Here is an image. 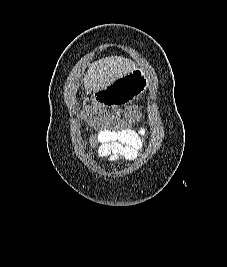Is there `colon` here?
<instances>
[{
    "label": "colon",
    "instance_id": "1",
    "mask_svg": "<svg viewBox=\"0 0 227 267\" xmlns=\"http://www.w3.org/2000/svg\"><path fill=\"white\" fill-rule=\"evenodd\" d=\"M135 109L136 106L127 110H113L111 114L110 110H102L97 106H85L82 114L95 130H125V125H133V120L126 119H139ZM141 115H144V112H141Z\"/></svg>",
    "mask_w": 227,
    "mask_h": 267
}]
</instances>
